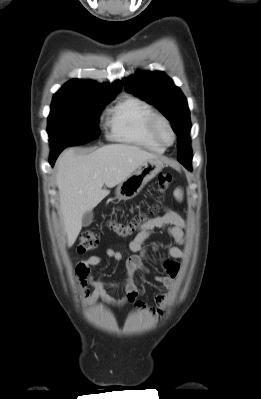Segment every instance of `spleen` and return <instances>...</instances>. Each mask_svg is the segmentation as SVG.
<instances>
[{"label": "spleen", "mask_w": 261, "mask_h": 399, "mask_svg": "<svg viewBox=\"0 0 261 399\" xmlns=\"http://www.w3.org/2000/svg\"><path fill=\"white\" fill-rule=\"evenodd\" d=\"M174 195H175V197H176L178 200H182L183 193H182V190H181V189H176L175 192H174Z\"/></svg>", "instance_id": "1"}]
</instances>
